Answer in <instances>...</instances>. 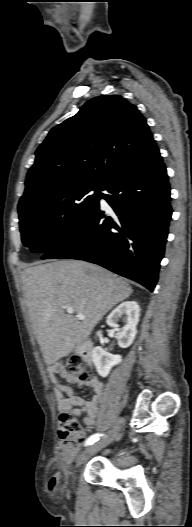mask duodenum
<instances>
[{"label":"duodenum","instance_id":"duodenum-1","mask_svg":"<svg viewBox=\"0 0 192 527\" xmlns=\"http://www.w3.org/2000/svg\"><path fill=\"white\" fill-rule=\"evenodd\" d=\"M92 350L93 345L90 341L83 342L78 348L79 354L86 359L91 357Z\"/></svg>","mask_w":192,"mask_h":527}]
</instances>
